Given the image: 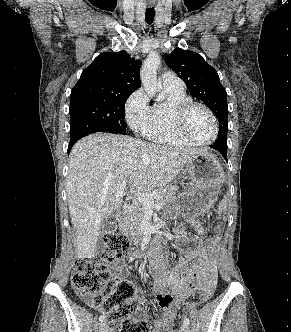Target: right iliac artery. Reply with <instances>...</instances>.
<instances>
[{
  "label": "right iliac artery",
  "instance_id": "82829eb1",
  "mask_svg": "<svg viewBox=\"0 0 291 332\" xmlns=\"http://www.w3.org/2000/svg\"><path fill=\"white\" fill-rule=\"evenodd\" d=\"M105 319V315H101L100 317H99V321H103Z\"/></svg>",
  "mask_w": 291,
  "mask_h": 332
}]
</instances>
